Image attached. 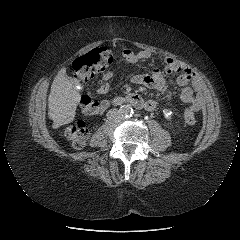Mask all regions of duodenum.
Wrapping results in <instances>:
<instances>
[{"label": "duodenum", "instance_id": "410a0bca", "mask_svg": "<svg viewBox=\"0 0 240 240\" xmlns=\"http://www.w3.org/2000/svg\"><path fill=\"white\" fill-rule=\"evenodd\" d=\"M113 105H123V104H130L137 109L145 108L146 104L144 100L138 95L134 93L127 94L125 96L117 97L113 100Z\"/></svg>", "mask_w": 240, "mask_h": 240}]
</instances>
